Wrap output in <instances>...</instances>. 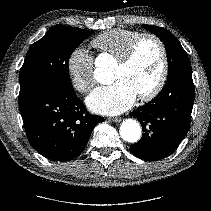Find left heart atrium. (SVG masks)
Here are the masks:
<instances>
[{
  "label": "left heart atrium",
  "instance_id": "left-heart-atrium-1",
  "mask_svg": "<svg viewBox=\"0 0 211 211\" xmlns=\"http://www.w3.org/2000/svg\"><path fill=\"white\" fill-rule=\"evenodd\" d=\"M134 88L125 80L94 89L87 97L88 107L102 115L120 114L133 106L137 100Z\"/></svg>",
  "mask_w": 211,
  "mask_h": 211
}]
</instances>
